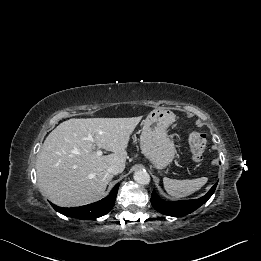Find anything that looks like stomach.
Returning <instances> with one entry per match:
<instances>
[{
	"label": "stomach",
	"instance_id": "obj_1",
	"mask_svg": "<svg viewBox=\"0 0 261 261\" xmlns=\"http://www.w3.org/2000/svg\"><path fill=\"white\" fill-rule=\"evenodd\" d=\"M175 115L167 109L151 111L144 120L140 136L142 153L157 169H163L172 162L176 149L167 134V128L174 122Z\"/></svg>",
	"mask_w": 261,
	"mask_h": 261
}]
</instances>
